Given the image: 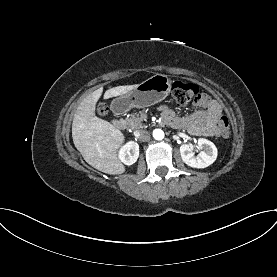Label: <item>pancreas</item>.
Masks as SVG:
<instances>
[{
	"label": "pancreas",
	"instance_id": "1",
	"mask_svg": "<svg viewBox=\"0 0 277 277\" xmlns=\"http://www.w3.org/2000/svg\"><path fill=\"white\" fill-rule=\"evenodd\" d=\"M127 121V125L131 128V129H140V128H143V118L137 113V112H134L131 114L130 117H128L126 119Z\"/></svg>",
	"mask_w": 277,
	"mask_h": 277
}]
</instances>
